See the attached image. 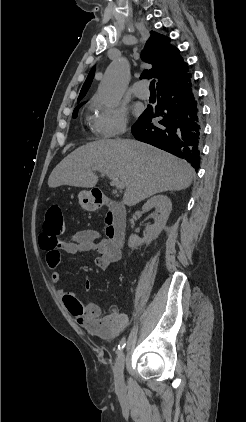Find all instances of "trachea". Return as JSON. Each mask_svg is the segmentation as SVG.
Wrapping results in <instances>:
<instances>
[{
    "label": "trachea",
    "instance_id": "1",
    "mask_svg": "<svg viewBox=\"0 0 246 422\" xmlns=\"http://www.w3.org/2000/svg\"><path fill=\"white\" fill-rule=\"evenodd\" d=\"M150 90H155V80L150 82Z\"/></svg>",
    "mask_w": 246,
    "mask_h": 422
}]
</instances>
